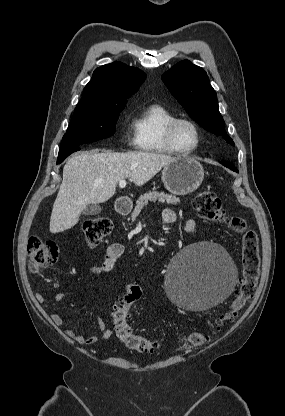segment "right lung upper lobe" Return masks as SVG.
I'll list each match as a JSON object with an SVG mask.
<instances>
[{"instance_id": "1", "label": "right lung upper lobe", "mask_w": 285, "mask_h": 416, "mask_svg": "<svg viewBox=\"0 0 285 416\" xmlns=\"http://www.w3.org/2000/svg\"><path fill=\"white\" fill-rule=\"evenodd\" d=\"M146 74L135 67L114 62L97 68L85 86L78 105L108 106L126 103L139 89Z\"/></svg>"}]
</instances>
